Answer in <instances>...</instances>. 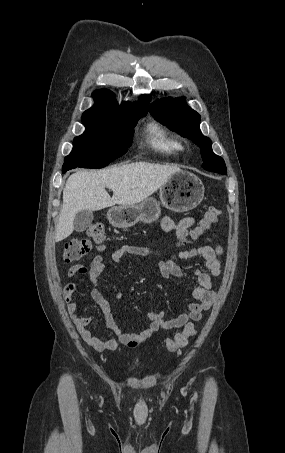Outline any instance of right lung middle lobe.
Wrapping results in <instances>:
<instances>
[{
    "mask_svg": "<svg viewBox=\"0 0 285 453\" xmlns=\"http://www.w3.org/2000/svg\"><path fill=\"white\" fill-rule=\"evenodd\" d=\"M147 111L130 114L86 111L85 132L74 138V147L64 167L102 168L126 153L132 144L134 127Z\"/></svg>",
    "mask_w": 285,
    "mask_h": 453,
    "instance_id": "1",
    "label": "right lung middle lobe"
}]
</instances>
